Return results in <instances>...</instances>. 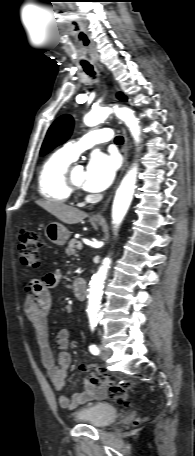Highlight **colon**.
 <instances>
[{
  "label": "colon",
  "mask_w": 195,
  "mask_h": 456,
  "mask_svg": "<svg viewBox=\"0 0 195 456\" xmlns=\"http://www.w3.org/2000/svg\"><path fill=\"white\" fill-rule=\"evenodd\" d=\"M42 242L38 235L32 231H24L20 235L19 252L21 262L28 267L38 269L40 267V249ZM80 370L88 375L91 381L107 387L108 396L117 404L129 403L130 384L127 382L113 383L110 381L105 369L97 364H85Z\"/></svg>",
  "instance_id": "1"
}]
</instances>
